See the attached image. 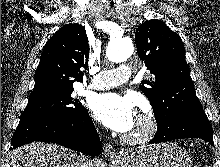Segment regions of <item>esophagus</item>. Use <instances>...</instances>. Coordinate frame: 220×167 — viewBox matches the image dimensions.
I'll list each match as a JSON object with an SVG mask.
<instances>
[{"instance_id": "obj_1", "label": "esophagus", "mask_w": 220, "mask_h": 167, "mask_svg": "<svg viewBox=\"0 0 220 167\" xmlns=\"http://www.w3.org/2000/svg\"><path fill=\"white\" fill-rule=\"evenodd\" d=\"M103 155L110 160H116L120 158L119 153L114 149V147L110 143L104 144Z\"/></svg>"}]
</instances>
